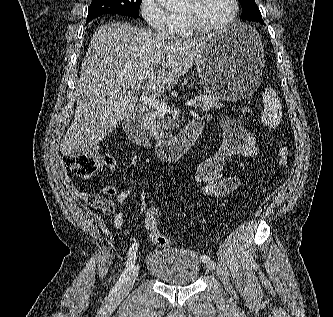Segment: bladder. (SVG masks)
<instances>
[{
    "instance_id": "31cf9c89",
    "label": "bladder",
    "mask_w": 333,
    "mask_h": 317,
    "mask_svg": "<svg viewBox=\"0 0 333 317\" xmlns=\"http://www.w3.org/2000/svg\"><path fill=\"white\" fill-rule=\"evenodd\" d=\"M145 266L149 275L172 285L193 284L201 272L198 253L185 248L153 250L146 256Z\"/></svg>"
}]
</instances>
